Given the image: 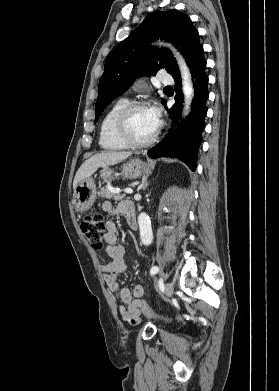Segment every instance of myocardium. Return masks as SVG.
<instances>
[{"label":"myocardium","instance_id":"obj_1","mask_svg":"<svg viewBox=\"0 0 279 391\" xmlns=\"http://www.w3.org/2000/svg\"><path fill=\"white\" fill-rule=\"evenodd\" d=\"M148 108V104L144 101L128 102L118 113L115 120V131L117 137L128 147L142 148L151 145L158 137L161 123L158 122L154 133L145 140H136L132 137L129 130L130 115L137 109Z\"/></svg>","mask_w":279,"mask_h":391}]
</instances>
